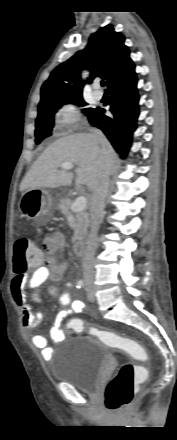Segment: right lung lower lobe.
<instances>
[{
    "instance_id": "98d812e1",
    "label": "right lung lower lobe",
    "mask_w": 177,
    "mask_h": 440,
    "mask_svg": "<svg viewBox=\"0 0 177 440\" xmlns=\"http://www.w3.org/2000/svg\"><path fill=\"white\" fill-rule=\"evenodd\" d=\"M111 116H105V109L96 108L88 114L91 125L98 127L107 136L115 150L126 157L137 128L139 116V95L135 66H131L108 84Z\"/></svg>"
}]
</instances>
